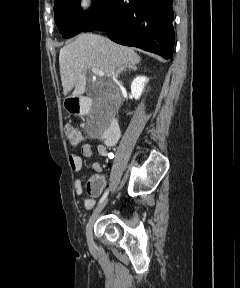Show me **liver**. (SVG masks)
I'll return each instance as SVG.
<instances>
[{
	"instance_id": "1",
	"label": "liver",
	"mask_w": 240,
	"mask_h": 288,
	"mask_svg": "<svg viewBox=\"0 0 240 288\" xmlns=\"http://www.w3.org/2000/svg\"><path fill=\"white\" fill-rule=\"evenodd\" d=\"M140 61V56L132 48L95 34L79 35L60 50L64 94L67 95L74 88L72 97H80L86 89V74L92 67L102 70L109 79L112 68L124 71Z\"/></svg>"
}]
</instances>
